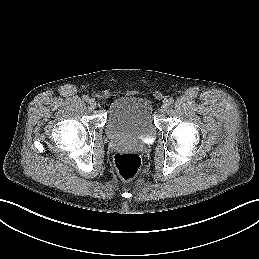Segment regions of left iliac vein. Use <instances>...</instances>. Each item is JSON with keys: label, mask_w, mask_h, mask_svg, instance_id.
Returning a JSON list of instances; mask_svg holds the SVG:
<instances>
[{"label": "left iliac vein", "mask_w": 259, "mask_h": 259, "mask_svg": "<svg viewBox=\"0 0 259 259\" xmlns=\"http://www.w3.org/2000/svg\"><path fill=\"white\" fill-rule=\"evenodd\" d=\"M168 107H169L168 103H166V102L163 103L162 106H161V112L166 113L167 110H168Z\"/></svg>", "instance_id": "left-iliac-vein-1"}]
</instances>
